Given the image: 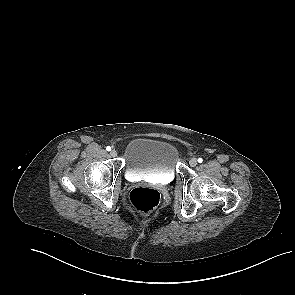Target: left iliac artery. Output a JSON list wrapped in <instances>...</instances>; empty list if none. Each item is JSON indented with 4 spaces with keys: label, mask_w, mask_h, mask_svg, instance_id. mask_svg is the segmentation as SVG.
Listing matches in <instances>:
<instances>
[{
    "label": "left iliac artery",
    "mask_w": 295,
    "mask_h": 295,
    "mask_svg": "<svg viewBox=\"0 0 295 295\" xmlns=\"http://www.w3.org/2000/svg\"><path fill=\"white\" fill-rule=\"evenodd\" d=\"M203 159L202 158H198V162L202 163Z\"/></svg>",
    "instance_id": "44dca946"
}]
</instances>
